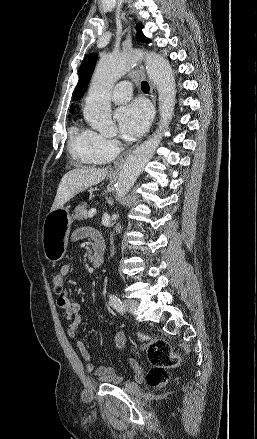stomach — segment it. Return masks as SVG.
I'll use <instances>...</instances> for the list:
<instances>
[{
	"instance_id": "stomach-1",
	"label": "stomach",
	"mask_w": 257,
	"mask_h": 439,
	"mask_svg": "<svg viewBox=\"0 0 257 439\" xmlns=\"http://www.w3.org/2000/svg\"><path fill=\"white\" fill-rule=\"evenodd\" d=\"M71 224L72 217L67 207L51 210L45 217L42 242L45 257L50 262L55 263L65 255Z\"/></svg>"
}]
</instances>
